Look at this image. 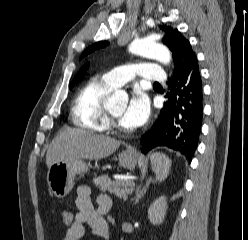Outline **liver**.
Instances as JSON below:
<instances>
[{
  "instance_id": "liver-1",
  "label": "liver",
  "mask_w": 248,
  "mask_h": 240,
  "mask_svg": "<svg viewBox=\"0 0 248 240\" xmlns=\"http://www.w3.org/2000/svg\"><path fill=\"white\" fill-rule=\"evenodd\" d=\"M120 144V141L104 135L69 129L61 132L51 142L46 154V164L50 168L60 161L102 159L111 155Z\"/></svg>"
}]
</instances>
